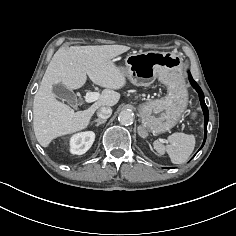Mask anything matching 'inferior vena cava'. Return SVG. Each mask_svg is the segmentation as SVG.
Masks as SVG:
<instances>
[{
	"label": "inferior vena cava",
	"instance_id": "1",
	"mask_svg": "<svg viewBox=\"0 0 236 236\" xmlns=\"http://www.w3.org/2000/svg\"><path fill=\"white\" fill-rule=\"evenodd\" d=\"M112 115V109L109 106H102L97 110V116L101 119H107Z\"/></svg>",
	"mask_w": 236,
	"mask_h": 236
}]
</instances>
